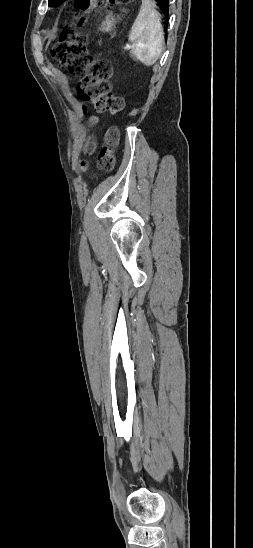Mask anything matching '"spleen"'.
<instances>
[{"mask_svg": "<svg viewBox=\"0 0 253 548\" xmlns=\"http://www.w3.org/2000/svg\"><path fill=\"white\" fill-rule=\"evenodd\" d=\"M129 40L134 45L131 54L146 66H152L161 55L164 45L163 27L160 14L151 0H142Z\"/></svg>", "mask_w": 253, "mask_h": 548, "instance_id": "obj_1", "label": "spleen"}]
</instances>
